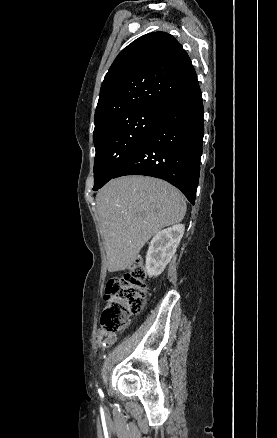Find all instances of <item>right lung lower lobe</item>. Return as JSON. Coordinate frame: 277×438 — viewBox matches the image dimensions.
<instances>
[{
	"mask_svg": "<svg viewBox=\"0 0 277 438\" xmlns=\"http://www.w3.org/2000/svg\"><path fill=\"white\" fill-rule=\"evenodd\" d=\"M155 66L166 71L173 68L163 63ZM203 134L202 94L197 84L164 105L144 142L113 178L124 175L161 178L179 188L194 204ZM101 187H93V190Z\"/></svg>",
	"mask_w": 277,
	"mask_h": 438,
	"instance_id": "98d812e1",
	"label": "right lung lower lobe"
}]
</instances>
